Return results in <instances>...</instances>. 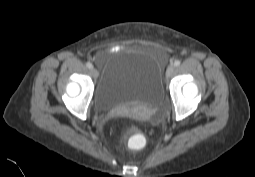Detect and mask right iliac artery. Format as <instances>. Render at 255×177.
Instances as JSON below:
<instances>
[{"label":"right iliac artery","mask_w":255,"mask_h":177,"mask_svg":"<svg viewBox=\"0 0 255 177\" xmlns=\"http://www.w3.org/2000/svg\"><path fill=\"white\" fill-rule=\"evenodd\" d=\"M86 66H87V68H89V69L92 68V64H91L90 62H87V63H86Z\"/></svg>","instance_id":"82829eb1"}]
</instances>
